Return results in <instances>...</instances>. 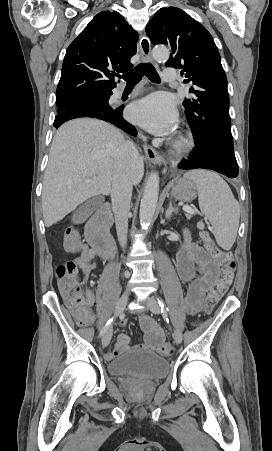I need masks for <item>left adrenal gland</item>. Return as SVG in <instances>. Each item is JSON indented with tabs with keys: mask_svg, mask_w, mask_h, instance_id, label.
<instances>
[{
	"mask_svg": "<svg viewBox=\"0 0 272 451\" xmlns=\"http://www.w3.org/2000/svg\"><path fill=\"white\" fill-rule=\"evenodd\" d=\"M173 212H175V214H177L178 208H173L172 202H170L169 208H168V210H166V212H165V218H167V220H168V218H171Z\"/></svg>",
	"mask_w": 272,
	"mask_h": 451,
	"instance_id": "1",
	"label": "left adrenal gland"
}]
</instances>
